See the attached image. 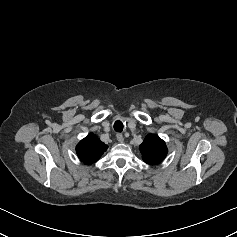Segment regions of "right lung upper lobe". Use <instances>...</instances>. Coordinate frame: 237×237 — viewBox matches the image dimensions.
<instances>
[{
	"label": "right lung upper lobe",
	"instance_id": "obj_1",
	"mask_svg": "<svg viewBox=\"0 0 237 237\" xmlns=\"http://www.w3.org/2000/svg\"><path fill=\"white\" fill-rule=\"evenodd\" d=\"M108 146L100 141L93 133L88 134L76 146L78 157L85 164L96 162L107 150Z\"/></svg>",
	"mask_w": 237,
	"mask_h": 237
}]
</instances>
